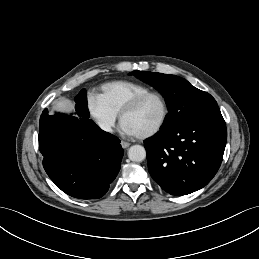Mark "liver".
I'll list each match as a JSON object with an SVG mask.
<instances>
[{
  "label": "liver",
  "instance_id": "liver-1",
  "mask_svg": "<svg viewBox=\"0 0 259 259\" xmlns=\"http://www.w3.org/2000/svg\"><path fill=\"white\" fill-rule=\"evenodd\" d=\"M55 107L60 111L68 112L72 108V103L64 99L56 102Z\"/></svg>",
  "mask_w": 259,
  "mask_h": 259
}]
</instances>
